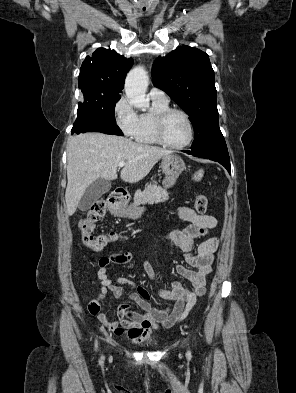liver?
I'll return each mask as SVG.
<instances>
[{
  "label": "liver",
  "mask_w": 296,
  "mask_h": 393,
  "mask_svg": "<svg viewBox=\"0 0 296 393\" xmlns=\"http://www.w3.org/2000/svg\"><path fill=\"white\" fill-rule=\"evenodd\" d=\"M172 151L135 143L130 139L103 133H85L70 139L67 147V214L73 215L86 189L97 179L115 180L117 167L123 181L136 183Z\"/></svg>",
  "instance_id": "6515ba94"
}]
</instances>
